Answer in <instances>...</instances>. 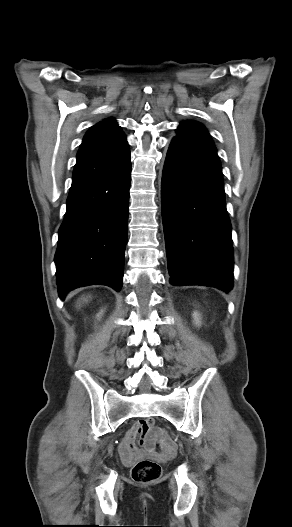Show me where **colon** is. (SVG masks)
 Returning <instances> with one entry per match:
<instances>
[{
    "label": "colon",
    "instance_id": "colon-1",
    "mask_svg": "<svg viewBox=\"0 0 292 527\" xmlns=\"http://www.w3.org/2000/svg\"><path fill=\"white\" fill-rule=\"evenodd\" d=\"M140 423L145 431H153L156 428L152 420H145ZM161 474V466L159 464H152L149 459L139 460L131 469L132 479L139 483L157 481L161 477Z\"/></svg>",
    "mask_w": 292,
    "mask_h": 527
}]
</instances>
